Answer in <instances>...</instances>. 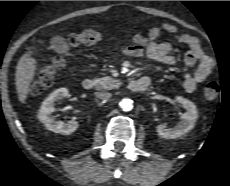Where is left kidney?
I'll list each match as a JSON object with an SVG mask.
<instances>
[{"label":"left kidney","mask_w":230,"mask_h":186,"mask_svg":"<svg viewBox=\"0 0 230 186\" xmlns=\"http://www.w3.org/2000/svg\"><path fill=\"white\" fill-rule=\"evenodd\" d=\"M176 101L186 109V112L181 116V122L173 128H166L163 125L156 127L157 133L160 137L165 139H175L183 134L189 132L194 128L195 122L198 118V111L194 103L191 101L177 96Z\"/></svg>","instance_id":"1"}]
</instances>
